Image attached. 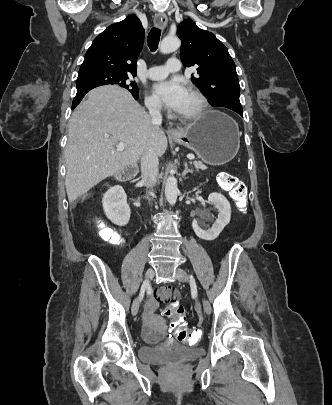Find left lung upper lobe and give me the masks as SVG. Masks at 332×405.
Returning a JSON list of instances; mask_svg holds the SVG:
<instances>
[{
  "instance_id": "left-lung-upper-lobe-1",
  "label": "left lung upper lobe",
  "mask_w": 332,
  "mask_h": 405,
  "mask_svg": "<svg viewBox=\"0 0 332 405\" xmlns=\"http://www.w3.org/2000/svg\"><path fill=\"white\" fill-rule=\"evenodd\" d=\"M177 35L182 40L181 60L185 67L196 68L192 81L209 98V103L233 111L240 109L239 80L227 48L214 34L198 28L191 19L180 23Z\"/></svg>"
}]
</instances>
